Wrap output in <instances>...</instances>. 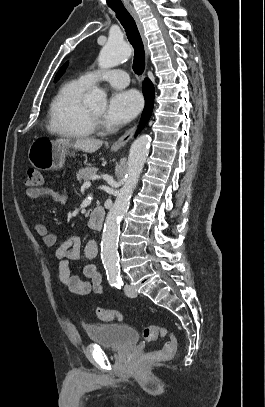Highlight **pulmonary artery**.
<instances>
[{"instance_id":"e3ab8cb5","label":"pulmonary artery","mask_w":265,"mask_h":407,"mask_svg":"<svg viewBox=\"0 0 265 407\" xmlns=\"http://www.w3.org/2000/svg\"><path fill=\"white\" fill-rule=\"evenodd\" d=\"M79 79L88 86L99 81H105L116 88H124L129 84L127 73L120 69L92 70L81 75Z\"/></svg>"}]
</instances>
